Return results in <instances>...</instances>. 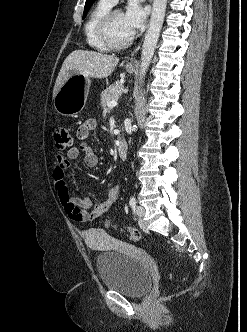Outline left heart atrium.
<instances>
[{"label": "left heart atrium", "mask_w": 247, "mask_h": 332, "mask_svg": "<svg viewBox=\"0 0 247 332\" xmlns=\"http://www.w3.org/2000/svg\"><path fill=\"white\" fill-rule=\"evenodd\" d=\"M123 18L126 26L134 32L144 25L146 15L139 4L131 3L123 13Z\"/></svg>", "instance_id": "left-heart-atrium-1"}]
</instances>
